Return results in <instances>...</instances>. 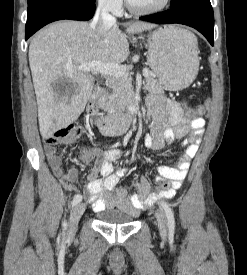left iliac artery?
Here are the masks:
<instances>
[{
    "mask_svg": "<svg viewBox=\"0 0 247 275\" xmlns=\"http://www.w3.org/2000/svg\"><path fill=\"white\" fill-rule=\"evenodd\" d=\"M161 206L163 207L167 220H168V228H169V233L170 234H174V230H175V219H174V214L172 209L170 208V206L165 203V202H161Z\"/></svg>",
    "mask_w": 247,
    "mask_h": 275,
    "instance_id": "obj_1",
    "label": "left iliac artery"
}]
</instances>
